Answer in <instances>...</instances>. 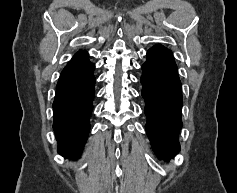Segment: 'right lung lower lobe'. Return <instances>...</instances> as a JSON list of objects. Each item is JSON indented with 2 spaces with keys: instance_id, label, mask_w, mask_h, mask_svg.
<instances>
[{
  "instance_id": "right-lung-lower-lobe-1",
  "label": "right lung lower lobe",
  "mask_w": 237,
  "mask_h": 193,
  "mask_svg": "<svg viewBox=\"0 0 237 193\" xmlns=\"http://www.w3.org/2000/svg\"><path fill=\"white\" fill-rule=\"evenodd\" d=\"M94 68L88 53L79 51L65 66L58 80L53 103V129L58 152L64 157L78 158L86 143L95 94Z\"/></svg>"
}]
</instances>
